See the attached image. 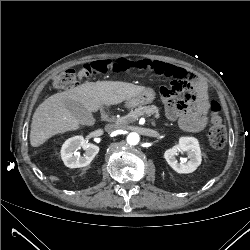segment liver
Masks as SVG:
<instances>
[{"label": "liver", "instance_id": "liver-1", "mask_svg": "<svg viewBox=\"0 0 250 250\" xmlns=\"http://www.w3.org/2000/svg\"><path fill=\"white\" fill-rule=\"evenodd\" d=\"M146 88L121 81L86 82L75 88L56 93L35 110L30 130V143L38 147L52 136L80 128V123L66 108L70 99L81 103L91 114L103 105H117L127 101ZM92 120L87 123L91 124ZM83 124V123H82Z\"/></svg>", "mask_w": 250, "mask_h": 250}]
</instances>
